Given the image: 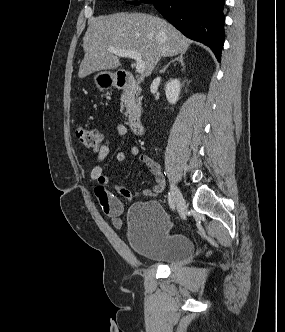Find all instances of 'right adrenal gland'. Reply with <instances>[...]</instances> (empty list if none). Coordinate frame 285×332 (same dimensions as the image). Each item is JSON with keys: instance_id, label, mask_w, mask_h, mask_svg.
<instances>
[{"instance_id": "right-adrenal-gland-1", "label": "right adrenal gland", "mask_w": 285, "mask_h": 332, "mask_svg": "<svg viewBox=\"0 0 285 332\" xmlns=\"http://www.w3.org/2000/svg\"><path fill=\"white\" fill-rule=\"evenodd\" d=\"M175 61H178L182 66L185 65L184 63V54H180L178 57L170 61L162 70H160V73H165L166 69L169 67V65Z\"/></svg>"}]
</instances>
